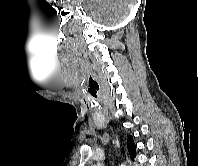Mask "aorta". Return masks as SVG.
Wrapping results in <instances>:
<instances>
[{"instance_id": "aorta-1", "label": "aorta", "mask_w": 198, "mask_h": 166, "mask_svg": "<svg viewBox=\"0 0 198 166\" xmlns=\"http://www.w3.org/2000/svg\"><path fill=\"white\" fill-rule=\"evenodd\" d=\"M95 166H103V164L99 162Z\"/></svg>"}]
</instances>
